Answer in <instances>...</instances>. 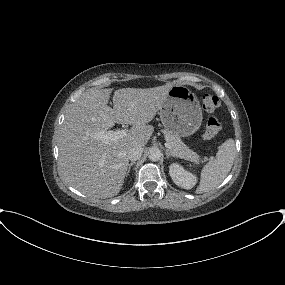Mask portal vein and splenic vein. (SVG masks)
Masks as SVG:
<instances>
[{
	"label": "portal vein and splenic vein",
	"mask_w": 285,
	"mask_h": 285,
	"mask_svg": "<svg viewBox=\"0 0 285 285\" xmlns=\"http://www.w3.org/2000/svg\"><path fill=\"white\" fill-rule=\"evenodd\" d=\"M127 136L126 130H116V131H100L93 134V137L96 139H100L103 143H109L113 141H117ZM166 148L170 149L171 144L166 142Z\"/></svg>",
	"instance_id": "18ae733b"
}]
</instances>
